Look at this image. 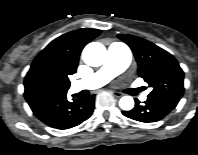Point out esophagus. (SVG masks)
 <instances>
[{"mask_svg": "<svg viewBox=\"0 0 198 155\" xmlns=\"http://www.w3.org/2000/svg\"><path fill=\"white\" fill-rule=\"evenodd\" d=\"M112 94L116 97H122L123 96V93L121 92H118V91H112Z\"/></svg>", "mask_w": 198, "mask_h": 155, "instance_id": "obj_1", "label": "esophagus"}]
</instances>
